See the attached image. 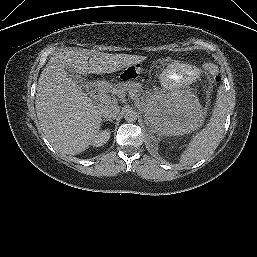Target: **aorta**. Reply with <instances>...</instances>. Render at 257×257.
Segmentation results:
<instances>
[{"label":"aorta","mask_w":257,"mask_h":257,"mask_svg":"<svg viewBox=\"0 0 257 257\" xmlns=\"http://www.w3.org/2000/svg\"><path fill=\"white\" fill-rule=\"evenodd\" d=\"M123 115H124V119L127 122H135L137 120V117H138V113L132 107L125 108L124 112H123Z\"/></svg>","instance_id":"1"}]
</instances>
